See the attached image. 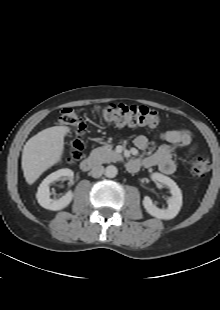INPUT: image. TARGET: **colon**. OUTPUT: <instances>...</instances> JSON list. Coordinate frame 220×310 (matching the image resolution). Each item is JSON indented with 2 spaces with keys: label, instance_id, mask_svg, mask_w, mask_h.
<instances>
[{
  "label": "colon",
  "instance_id": "5ec220e1",
  "mask_svg": "<svg viewBox=\"0 0 220 310\" xmlns=\"http://www.w3.org/2000/svg\"><path fill=\"white\" fill-rule=\"evenodd\" d=\"M100 114L106 121L119 126L154 128L160 124L158 113L142 106L108 104L100 108ZM59 122L70 131V138L67 143L68 160L77 161L83 154V135L86 125L75 110L71 108H65L61 111ZM210 167V161L204 157L195 158L190 164L191 172L197 176L206 174Z\"/></svg>",
  "mask_w": 220,
  "mask_h": 310
}]
</instances>
